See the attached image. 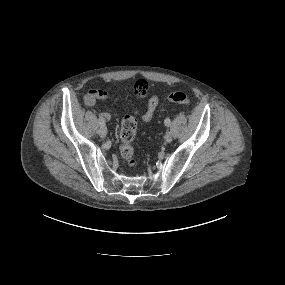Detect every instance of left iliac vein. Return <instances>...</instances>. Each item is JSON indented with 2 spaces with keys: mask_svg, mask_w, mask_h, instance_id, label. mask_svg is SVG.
Returning a JSON list of instances; mask_svg holds the SVG:
<instances>
[{
  "mask_svg": "<svg viewBox=\"0 0 285 285\" xmlns=\"http://www.w3.org/2000/svg\"><path fill=\"white\" fill-rule=\"evenodd\" d=\"M164 139L166 142H171L173 139L172 134L170 132H167Z\"/></svg>",
  "mask_w": 285,
  "mask_h": 285,
  "instance_id": "4c4485c4",
  "label": "left iliac vein"
}]
</instances>
